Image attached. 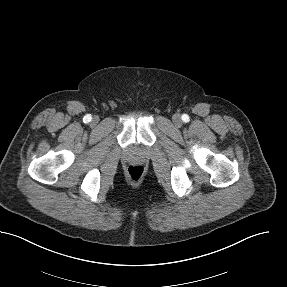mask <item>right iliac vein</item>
I'll list each match as a JSON object with an SVG mask.
<instances>
[{"instance_id": "obj_1", "label": "right iliac vein", "mask_w": 287, "mask_h": 287, "mask_svg": "<svg viewBox=\"0 0 287 287\" xmlns=\"http://www.w3.org/2000/svg\"><path fill=\"white\" fill-rule=\"evenodd\" d=\"M98 121H99V118H98V117H94V118H93V124L98 123Z\"/></svg>"}]
</instances>
